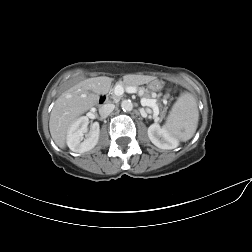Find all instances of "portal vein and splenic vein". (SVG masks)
<instances>
[{"label":"portal vein and splenic vein","instance_id":"obj_1","mask_svg":"<svg viewBox=\"0 0 252 252\" xmlns=\"http://www.w3.org/2000/svg\"><path fill=\"white\" fill-rule=\"evenodd\" d=\"M126 91H127L128 93H136L137 90H136L135 87L130 86V87H127ZM123 93H124L123 87H121L120 85H117V86L115 87V94H116V95H122ZM141 104H142L143 106H150V107H152V108H153V111H154V115H155V116H158V114H159V109H158V107L156 106V104H155L152 100H148V99L142 98V99H141Z\"/></svg>","mask_w":252,"mask_h":252}]
</instances>
